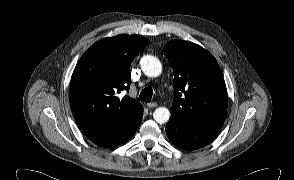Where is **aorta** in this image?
<instances>
[{"instance_id":"obj_1","label":"aorta","mask_w":294,"mask_h":180,"mask_svg":"<svg viewBox=\"0 0 294 180\" xmlns=\"http://www.w3.org/2000/svg\"><path fill=\"white\" fill-rule=\"evenodd\" d=\"M140 66L143 73L148 77H157L162 72L161 62L152 55H145L140 60ZM153 117L159 124H164L170 119V111L166 107L157 108Z\"/></svg>"}]
</instances>
